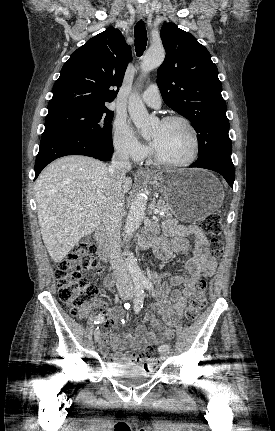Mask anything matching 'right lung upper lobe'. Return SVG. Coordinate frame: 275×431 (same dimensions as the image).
Instances as JSON below:
<instances>
[{
    "label": "right lung upper lobe",
    "mask_w": 275,
    "mask_h": 431,
    "mask_svg": "<svg viewBox=\"0 0 275 431\" xmlns=\"http://www.w3.org/2000/svg\"><path fill=\"white\" fill-rule=\"evenodd\" d=\"M129 61L131 48L118 29L109 27L91 38L63 65L48 112L113 101Z\"/></svg>",
    "instance_id": "1"
}]
</instances>
